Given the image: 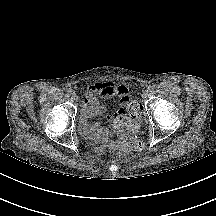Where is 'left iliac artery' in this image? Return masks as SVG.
Wrapping results in <instances>:
<instances>
[{
    "label": "left iliac artery",
    "instance_id": "obj_1",
    "mask_svg": "<svg viewBox=\"0 0 216 216\" xmlns=\"http://www.w3.org/2000/svg\"><path fill=\"white\" fill-rule=\"evenodd\" d=\"M153 90H154V86L153 85L148 87V91L152 92Z\"/></svg>",
    "mask_w": 216,
    "mask_h": 216
}]
</instances>
